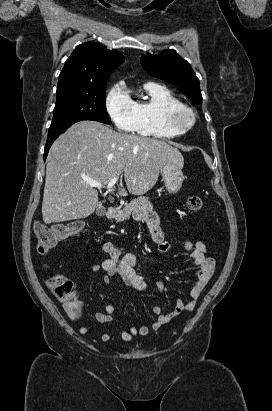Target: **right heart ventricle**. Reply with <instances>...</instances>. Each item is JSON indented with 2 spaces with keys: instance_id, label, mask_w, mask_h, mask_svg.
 <instances>
[{
  "instance_id": "obj_1",
  "label": "right heart ventricle",
  "mask_w": 272,
  "mask_h": 411,
  "mask_svg": "<svg viewBox=\"0 0 272 411\" xmlns=\"http://www.w3.org/2000/svg\"><path fill=\"white\" fill-rule=\"evenodd\" d=\"M146 99L134 101L135 126L133 131L141 136L168 139L176 135L164 125L163 112L169 106L184 103L167 87L157 83L144 85Z\"/></svg>"
}]
</instances>
